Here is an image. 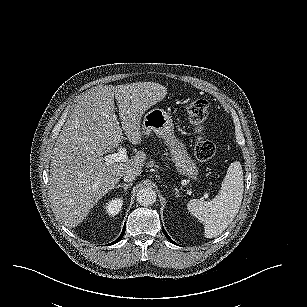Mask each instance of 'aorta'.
Masks as SVG:
<instances>
[{
	"mask_svg": "<svg viewBox=\"0 0 307 307\" xmlns=\"http://www.w3.org/2000/svg\"><path fill=\"white\" fill-rule=\"evenodd\" d=\"M136 198L140 205L150 206L156 202L157 194L154 189L150 187H144L138 191Z\"/></svg>",
	"mask_w": 307,
	"mask_h": 307,
	"instance_id": "obj_1",
	"label": "aorta"
}]
</instances>
